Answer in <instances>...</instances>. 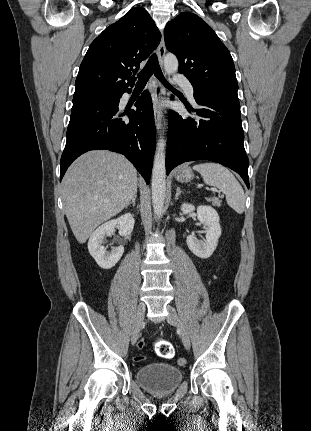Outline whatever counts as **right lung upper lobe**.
<instances>
[{"mask_svg": "<svg viewBox=\"0 0 311 431\" xmlns=\"http://www.w3.org/2000/svg\"><path fill=\"white\" fill-rule=\"evenodd\" d=\"M159 41V30L149 13L133 8L91 43L80 65L74 96L128 90L136 80L131 71H138Z\"/></svg>", "mask_w": 311, "mask_h": 431, "instance_id": "obj_1", "label": "right lung upper lobe"}]
</instances>
